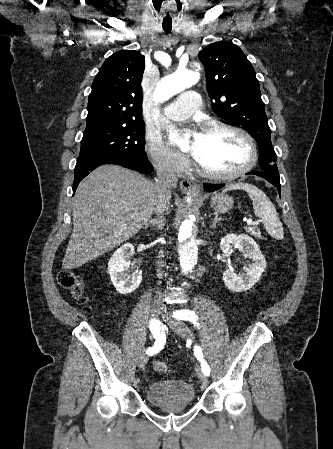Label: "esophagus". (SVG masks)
Returning <instances> with one entry per match:
<instances>
[{"label": "esophagus", "mask_w": 333, "mask_h": 449, "mask_svg": "<svg viewBox=\"0 0 333 449\" xmlns=\"http://www.w3.org/2000/svg\"><path fill=\"white\" fill-rule=\"evenodd\" d=\"M180 186L184 190H191L193 188V184L188 180H182Z\"/></svg>", "instance_id": "34e87169"}]
</instances>
